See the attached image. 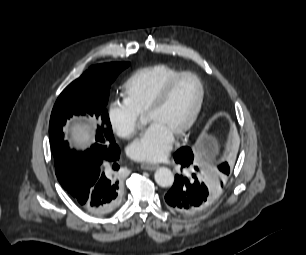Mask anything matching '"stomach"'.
Instances as JSON below:
<instances>
[{"label":"stomach","mask_w":306,"mask_h":255,"mask_svg":"<svg viewBox=\"0 0 306 255\" xmlns=\"http://www.w3.org/2000/svg\"><path fill=\"white\" fill-rule=\"evenodd\" d=\"M196 150L202 160H215L219 154L218 141L212 135L204 133L197 143Z\"/></svg>","instance_id":"1"}]
</instances>
